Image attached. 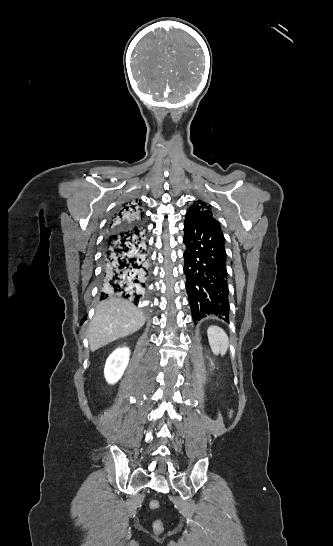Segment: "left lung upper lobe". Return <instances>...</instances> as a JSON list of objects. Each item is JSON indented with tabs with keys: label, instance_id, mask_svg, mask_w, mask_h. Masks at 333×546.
<instances>
[{
	"label": "left lung upper lobe",
	"instance_id": "obj_1",
	"mask_svg": "<svg viewBox=\"0 0 333 546\" xmlns=\"http://www.w3.org/2000/svg\"><path fill=\"white\" fill-rule=\"evenodd\" d=\"M186 215L194 216L200 219H210L218 222L213 216V213L209 210V207L206 205V203L201 202L200 200H198L197 203L193 204L189 208Z\"/></svg>",
	"mask_w": 333,
	"mask_h": 546
}]
</instances>
